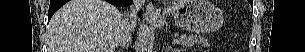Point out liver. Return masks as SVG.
<instances>
[{"instance_id":"1","label":"liver","mask_w":305,"mask_h":52,"mask_svg":"<svg viewBox=\"0 0 305 52\" xmlns=\"http://www.w3.org/2000/svg\"><path fill=\"white\" fill-rule=\"evenodd\" d=\"M181 0L164 13H174ZM126 26L125 15L103 0H71L48 26V52H114Z\"/></svg>"}]
</instances>
